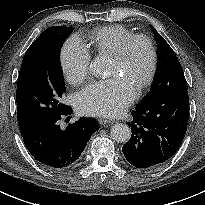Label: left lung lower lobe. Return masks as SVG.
I'll return each instance as SVG.
<instances>
[{"instance_id":"0a47b994","label":"left lung lower lobe","mask_w":205,"mask_h":205,"mask_svg":"<svg viewBox=\"0 0 205 205\" xmlns=\"http://www.w3.org/2000/svg\"><path fill=\"white\" fill-rule=\"evenodd\" d=\"M131 138L122 147L127 161L136 168L155 167L179 149L188 124L187 84L168 95L140 103L131 112Z\"/></svg>"}]
</instances>
